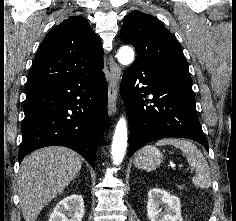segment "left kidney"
<instances>
[{"label":"left kidney","mask_w":236,"mask_h":221,"mask_svg":"<svg viewBox=\"0 0 236 221\" xmlns=\"http://www.w3.org/2000/svg\"><path fill=\"white\" fill-rule=\"evenodd\" d=\"M147 216L150 221H183L179 198L163 189L152 188L148 193Z\"/></svg>","instance_id":"obj_1"}]
</instances>
